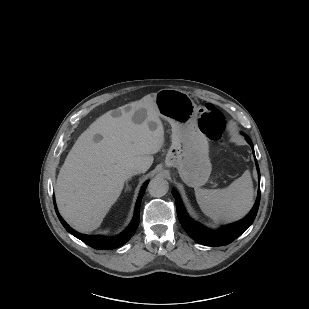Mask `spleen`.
Masks as SVG:
<instances>
[{"instance_id":"3e777b00","label":"spleen","mask_w":309,"mask_h":309,"mask_svg":"<svg viewBox=\"0 0 309 309\" xmlns=\"http://www.w3.org/2000/svg\"><path fill=\"white\" fill-rule=\"evenodd\" d=\"M197 203L213 220L234 221L245 216L253 204V184L248 171L224 189L195 188Z\"/></svg>"}]
</instances>
